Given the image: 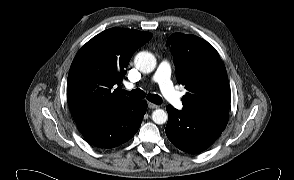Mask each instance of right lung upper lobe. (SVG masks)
Masks as SVG:
<instances>
[{
	"label": "right lung upper lobe",
	"instance_id": "1",
	"mask_svg": "<svg viewBox=\"0 0 294 180\" xmlns=\"http://www.w3.org/2000/svg\"><path fill=\"white\" fill-rule=\"evenodd\" d=\"M153 35L111 28L89 40L76 54L68 74L67 100L76 123L104 115L131 100L114 85L122 82L132 54Z\"/></svg>",
	"mask_w": 294,
	"mask_h": 180
}]
</instances>
